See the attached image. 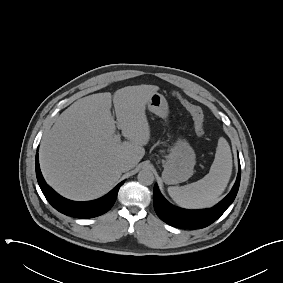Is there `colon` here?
Masks as SVG:
<instances>
[{
  "instance_id": "5ec220e1",
  "label": "colon",
  "mask_w": 283,
  "mask_h": 283,
  "mask_svg": "<svg viewBox=\"0 0 283 283\" xmlns=\"http://www.w3.org/2000/svg\"><path fill=\"white\" fill-rule=\"evenodd\" d=\"M174 95L180 100L183 107L191 115L197 134L203 135L204 134V113L202 109L199 106L188 101L181 94L174 93Z\"/></svg>"
}]
</instances>
